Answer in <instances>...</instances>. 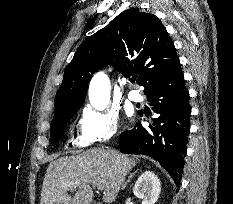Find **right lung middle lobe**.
<instances>
[{
  "mask_svg": "<svg viewBox=\"0 0 233 204\" xmlns=\"http://www.w3.org/2000/svg\"><path fill=\"white\" fill-rule=\"evenodd\" d=\"M76 111L77 110H74L72 112L67 113L66 115H64L63 117L59 119L52 120L50 143H53L60 138L66 126V123L72 118V116L74 115Z\"/></svg>",
  "mask_w": 233,
  "mask_h": 204,
  "instance_id": "right-lung-middle-lobe-1",
  "label": "right lung middle lobe"
}]
</instances>
